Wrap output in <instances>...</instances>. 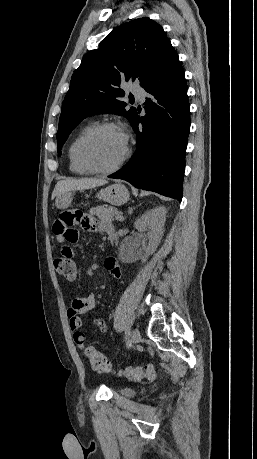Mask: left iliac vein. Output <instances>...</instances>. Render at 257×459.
<instances>
[{
  "mask_svg": "<svg viewBox=\"0 0 257 459\" xmlns=\"http://www.w3.org/2000/svg\"><path fill=\"white\" fill-rule=\"evenodd\" d=\"M140 339H141L140 331L138 329H134L130 337V346H133L136 343H138Z\"/></svg>",
  "mask_w": 257,
  "mask_h": 459,
  "instance_id": "4c4485c4",
  "label": "left iliac vein"
}]
</instances>
